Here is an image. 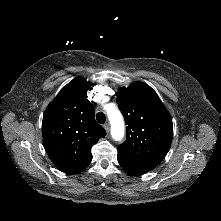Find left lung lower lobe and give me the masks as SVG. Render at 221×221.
Masks as SVG:
<instances>
[{"label":"left lung lower lobe","mask_w":221,"mask_h":221,"mask_svg":"<svg viewBox=\"0 0 221 221\" xmlns=\"http://www.w3.org/2000/svg\"><path fill=\"white\" fill-rule=\"evenodd\" d=\"M118 162L120 166L131 175H142L149 172L152 169L141 165L140 163L126 157L125 155L118 152Z\"/></svg>","instance_id":"obj_1"}]
</instances>
